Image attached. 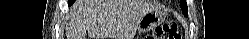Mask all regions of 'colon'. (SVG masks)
<instances>
[{
  "label": "colon",
  "instance_id": "colon-1",
  "mask_svg": "<svg viewBox=\"0 0 249 39\" xmlns=\"http://www.w3.org/2000/svg\"><path fill=\"white\" fill-rule=\"evenodd\" d=\"M146 39H181L180 26L177 23L160 25Z\"/></svg>",
  "mask_w": 249,
  "mask_h": 39
}]
</instances>
